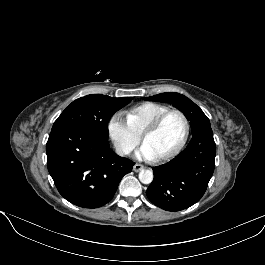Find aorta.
<instances>
[{
    "instance_id": "aorta-1",
    "label": "aorta",
    "mask_w": 265,
    "mask_h": 265,
    "mask_svg": "<svg viewBox=\"0 0 265 265\" xmlns=\"http://www.w3.org/2000/svg\"><path fill=\"white\" fill-rule=\"evenodd\" d=\"M139 180L143 184H150L153 181V172L150 170H141L139 173Z\"/></svg>"
}]
</instances>
